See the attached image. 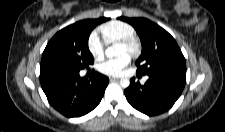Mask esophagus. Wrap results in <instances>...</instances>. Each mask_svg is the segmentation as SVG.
<instances>
[{
    "instance_id": "34e87169",
    "label": "esophagus",
    "mask_w": 225,
    "mask_h": 132,
    "mask_svg": "<svg viewBox=\"0 0 225 132\" xmlns=\"http://www.w3.org/2000/svg\"><path fill=\"white\" fill-rule=\"evenodd\" d=\"M119 80V78H115V77H110V81H118Z\"/></svg>"
}]
</instances>
